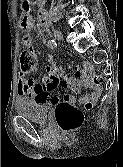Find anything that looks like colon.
Wrapping results in <instances>:
<instances>
[{
	"label": "colon",
	"instance_id": "1",
	"mask_svg": "<svg viewBox=\"0 0 123 167\" xmlns=\"http://www.w3.org/2000/svg\"><path fill=\"white\" fill-rule=\"evenodd\" d=\"M19 63L20 74L22 76L34 72L37 67L36 57L29 50H24L20 53ZM100 81L99 76L94 77V82L96 84H99ZM90 106L91 104H87V107ZM55 119L59 129L64 133H68L78 129L82 125L84 114L73 104L63 102L56 107Z\"/></svg>",
	"mask_w": 123,
	"mask_h": 167
}]
</instances>
